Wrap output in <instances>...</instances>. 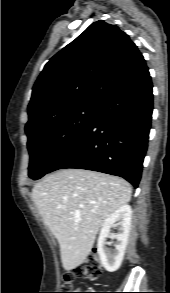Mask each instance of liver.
Instances as JSON below:
<instances>
[{
	"mask_svg": "<svg viewBox=\"0 0 170 293\" xmlns=\"http://www.w3.org/2000/svg\"><path fill=\"white\" fill-rule=\"evenodd\" d=\"M131 194L124 179L83 169L59 170L34 186L32 199L59 243L65 270L84 262L104 221Z\"/></svg>",
	"mask_w": 170,
	"mask_h": 293,
	"instance_id": "obj_1",
	"label": "liver"
}]
</instances>
